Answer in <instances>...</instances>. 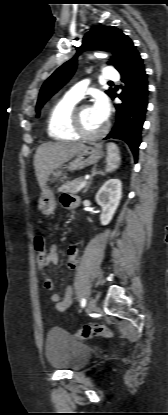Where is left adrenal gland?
<instances>
[{"instance_id": "left-adrenal-gland-1", "label": "left adrenal gland", "mask_w": 168, "mask_h": 415, "mask_svg": "<svg viewBox=\"0 0 168 415\" xmlns=\"http://www.w3.org/2000/svg\"><path fill=\"white\" fill-rule=\"evenodd\" d=\"M97 174H103L101 171H98L97 169H96V167H94L93 169H92V174H91V177H90V180H89V182H88V184H87V186L85 187V189H84V193H86L87 191H88V189H89V187H90V185H91V183H92V180H93V177L95 176V175H97Z\"/></svg>"}]
</instances>
